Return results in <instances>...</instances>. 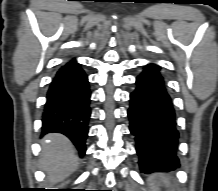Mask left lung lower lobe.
Wrapping results in <instances>:
<instances>
[{
	"instance_id": "obj_1",
	"label": "left lung lower lobe",
	"mask_w": 218,
	"mask_h": 191,
	"mask_svg": "<svg viewBox=\"0 0 218 191\" xmlns=\"http://www.w3.org/2000/svg\"><path fill=\"white\" fill-rule=\"evenodd\" d=\"M160 69L155 64H148L136 78L137 87L130 94V131L135 136L144 173L179 167L175 112Z\"/></svg>"
}]
</instances>
